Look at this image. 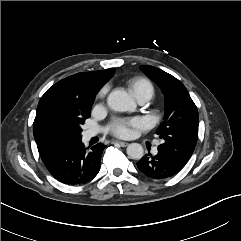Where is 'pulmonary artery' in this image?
Here are the masks:
<instances>
[{"mask_svg":"<svg viewBox=\"0 0 241 241\" xmlns=\"http://www.w3.org/2000/svg\"><path fill=\"white\" fill-rule=\"evenodd\" d=\"M151 97L148 96V95H144V96H141L139 98H137L138 102L140 104H144L146 103ZM96 134V131L92 130V129H89V130H86L83 134L84 138L85 139H89L91 138L92 136H94Z\"/></svg>","mask_w":241,"mask_h":241,"instance_id":"obj_1","label":"pulmonary artery"}]
</instances>
